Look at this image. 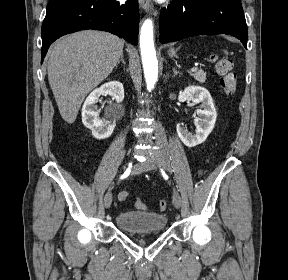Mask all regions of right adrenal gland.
Here are the masks:
<instances>
[{
	"label": "right adrenal gland",
	"instance_id": "right-adrenal-gland-1",
	"mask_svg": "<svg viewBox=\"0 0 288 280\" xmlns=\"http://www.w3.org/2000/svg\"><path fill=\"white\" fill-rule=\"evenodd\" d=\"M120 62H122L123 65L126 64V63H125V60H124V55H123V54L120 56V60H119V61L117 62V64H116V69H117V67H118V65H119Z\"/></svg>",
	"mask_w": 288,
	"mask_h": 280
}]
</instances>
